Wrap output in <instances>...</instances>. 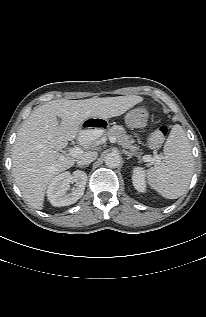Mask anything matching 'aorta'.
Instances as JSON below:
<instances>
[{
    "mask_svg": "<svg viewBox=\"0 0 206 317\" xmlns=\"http://www.w3.org/2000/svg\"><path fill=\"white\" fill-rule=\"evenodd\" d=\"M121 163V157L118 153H109L105 156V164L109 168H117Z\"/></svg>",
    "mask_w": 206,
    "mask_h": 317,
    "instance_id": "aorta-1",
    "label": "aorta"
}]
</instances>
